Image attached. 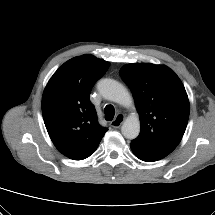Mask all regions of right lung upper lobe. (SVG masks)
<instances>
[{
    "label": "right lung upper lobe",
    "instance_id": "cb5924a9",
    "mask_svg": "<svg viewBox=\"0 0 215 215\" xmlns=\"http://www.w3.org/2000/svg\"><path fill=\"white\" fill-rule=\"evenodd\" d=\"M109 62L92 55L64 63L49 80L42 98L43 119L56 148L66 157L83 160L97 149L107 132L98 124L89 96Z\"/></svg>",
    "mask_w": 215,
    "mask_h": 215
}]
</instances>
